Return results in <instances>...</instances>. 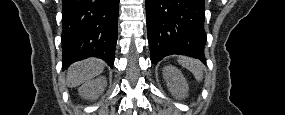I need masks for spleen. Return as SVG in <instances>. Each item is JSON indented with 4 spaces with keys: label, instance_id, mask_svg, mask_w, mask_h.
I'll use <instances>...</instances> for the list:
<instances>
[{
    "label": "spleen",
    "instance_id": "spleen-1",
    "mask_svg": "<svg viewBox=\"0 0 285 115\" xmlns=\"http://www.w3.org/2000/svg\"><path fill=\"white\" fill-rule=\"evenodd\" d=\"M178 62L188 70H190L198 82L203 79V64L194 58L180 57Z\"/></svg>",
    "mask_w": 285,
    "mask_h": 115
}]
</instances>
